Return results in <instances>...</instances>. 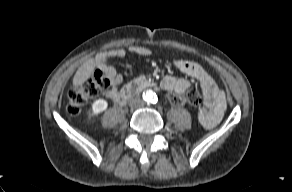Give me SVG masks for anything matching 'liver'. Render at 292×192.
<instances>
[{"instance_id": "6515ba94", "label": "liver", "mask_w": 292, "mask_h": 192, "mask_svg": "<svg viewBox=\"0 0 292 192\" xmlns=\"http://www.w3.org/2000/svg\"><path fill=\"white\" fill-rule=\"evenodd\" d=\"M95 69V60L89 59L84 62L76 71L73 77V86L78 87L81 86L86 80H88Z\"/></svg>"}]
</instances>
